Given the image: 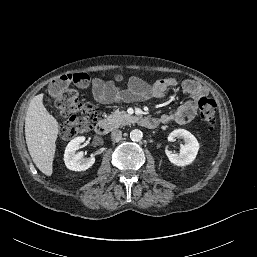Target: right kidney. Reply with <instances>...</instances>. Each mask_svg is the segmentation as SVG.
<instances>
[{"label": "right kidney", "mask_w": 257, "mask_h": 257, "mask_svg": "<svg viewBox=\"0 0 257 257\" xmlns=\"http://www.w3.org/2000/svg\"><path fill=\"white\" fill-rule=\"evenodd\" d=\"M84 136H79L71 140L64 153V162L66 167L72 171H85L95 163V158H83V152L76 151L80 148V144L85 141Z\"/></svg>", "instance_id": "1"}]
</instances>
